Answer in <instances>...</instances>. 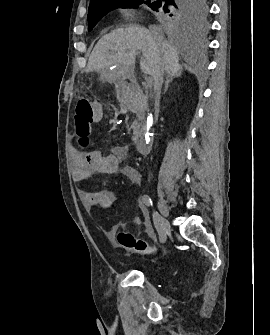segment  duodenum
Masks as SVG:
<instances>
[{
	"label": "duodenum",
	"mask_w": 270,
	"mask_h": 335,
	"mask_svg": "<svg viewBox=\"0 0 270 335\" xmlns=\"http://www.w3.org/2000/svg\"><path fill=\"white\" fill-rule=\"evenodd\" d=\"M122 108L125 111L145 113L148 109V99L143 89L133 82L120 84ZM152 146V137L149 133L141 135L136 143L139 153L148 154Z\"/></svg>",
	"instance_id": "1"
}]
</instances>
